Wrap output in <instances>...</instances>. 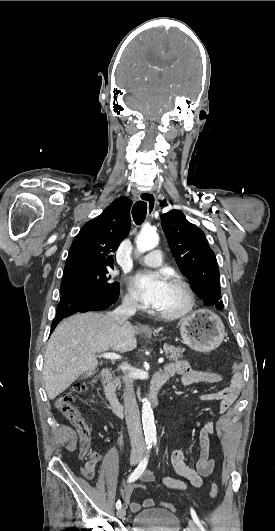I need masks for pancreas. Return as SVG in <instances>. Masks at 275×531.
I'll list each match as a JSON object with an SVG mask.
<instances>
[{"instance_id": "1", "label": "pancreas", "mask_w": 275, "mask_h": 531, "mask_svg": "<svg viewBox=\"0 0 275 531\" xmlns=\"http://www.w3.org/2000/svg\"><path fill=\"white\" fill-rule=\"evenodd\" d=\"M163 351L165 355H168L167 359L168 361H178L180 357H183L182 353H184L185 349H181V347H173V345H163ZM127 377H123L124 383H126ZM114 383L116 385H121L120 379H115Z\"/></svg>"}]
</instances>
